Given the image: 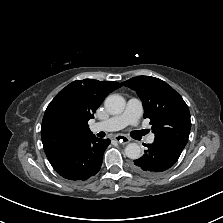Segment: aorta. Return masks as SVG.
Returning <instances> with one entry per match:
<instances>
[{
	"label": "aorta",
	"mask_w": 223,
	"mask_h": 223,
	"mask_svg": "<svg viewBox=\"0 0 223 223\" xmlns=\"http://www.w3.org/2000/svg\"><path fill=\"white\" fill-rule=\"evenodd\" d=\"M125 99L119 94L109 95L105 100V108L111 114H120L125 109ZM125 155L130 159L141 157V148L137 143H130L125 148Z\"/></svg>",
	"instance_id": "1"
}]
</instances>
